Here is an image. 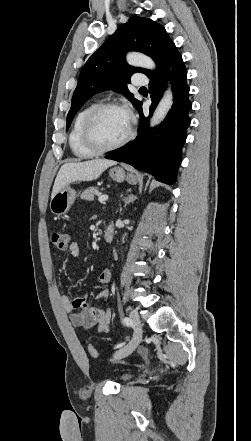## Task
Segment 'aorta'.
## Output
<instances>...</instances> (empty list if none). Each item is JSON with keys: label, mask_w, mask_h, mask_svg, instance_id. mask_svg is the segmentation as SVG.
Returning a JSON list of instances; mask_svg holds the SVG:
<instances>
[{"label": "aorta", "mask_w": 251, "mask_h": 441, "mask_svg": "<svg viewBox=\"0 0 251 441\" xmlns=\"http://www.w3.org/2000/svg\"><path fill=\"white\" fill-rule=\"evenodd\" d=\"M127 62L136 67H142L146 69H155L154 61L140 53L131 52L126 56ZM173 104V93L171 91V85L168 84V88L156 107L153 116L150 120V126L154 127L159 125L166 117L167 113L171 109Z\"/></svg>", "instance_id": "762f6f07"}]
</instances>
